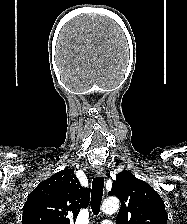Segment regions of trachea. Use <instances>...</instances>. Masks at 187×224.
<instances>
[{
    "label": "trachea",
    "instance_id": "obj_1",
    "mask_svg": "<svg viewBox=\"0 0 187 224\" xmlns=\"http://www.w3.org/2000/svg\"><path fill=\"white\" fill-rule=\"evenodd\" d=\"M104 178L95 177L92 182L91 192V209L94 215H98L100 211V204L103 196Z\"/></svg>",
    "mask_w": 187,
    "mask_h": 224
}]
</instances>
